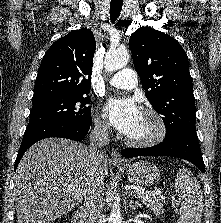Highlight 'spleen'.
Wrapping results in <instances>:
<instances>
[{"mask_svg":"<svg viewBox=\"0 0 221 223\" xmlns=\"http://www.w3.org/2000/svg\"><path fill=\"white\" fill-rule=\"evenodd\" d=\"M175 191L179 197L178 223H201L203 196L199 182L193 173L185 168L178 171L175 178Z\"/></svg>","mask_w":221,"mask_h":223,"instance_id":"obj_1","label":"spleen"}]
</instances>
